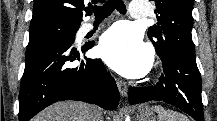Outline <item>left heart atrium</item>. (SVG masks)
Listing matches in <instances>:
<instances>
[{"mask_svg": "<svg viewBox=\"0 0 217 121\" xmlns=\"http://www.w3.org/2000/svg\"><path fill=\"white\" fill-rule=\"evenodd\" d=\"M102 59L127 77H140L151 66V52L140 33L128 24H117L106 31L99 43Z\"/></svg>", "mask_w": 217, "mask_h": 121, "instance_id": "obj_1", "label": "left heart atrium"}]
</instances>
